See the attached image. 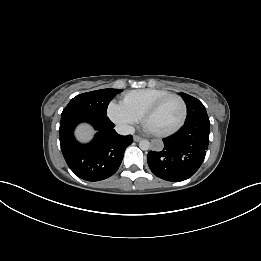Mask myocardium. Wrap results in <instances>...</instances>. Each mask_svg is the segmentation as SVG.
I'll return each instance as SVG.
<instances>
[{
	"label": "myocardium",
	"mask_w": 261,
	"mask_h": 261,
	"mask_svg": "<svg viewBox=\"0 0 261 261\" xmlns=\"http://www.w3.org/2000/svg\"><path fill=\"white\" fill-rule=\"evenodd\" d=\"M176 99L179 101L180 105H181V109H182V114H181V118L179 120V122L176 124V126H174L172 129L167 130V131H154L148 128L147 126V121L150 118V116L167 100L169 99ZM187 117V106L186 103L184 101V99L179 96L178 94H167L161 98H159L158 100H156L154 103H152L143 113L142 115V122L144 127L153 135L158 136V137H167L170 135H173L174 133H176L177 131H179L181 129V127L184 125L185 120Z\"/></svg>",
	"instance_id": "1"
}]
</instances>
